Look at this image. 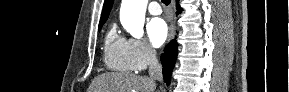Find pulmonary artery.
I'll return each mask as SVG.
<instances>
[{"label":"pulmonary artery","instance_id":"pulmonary-artery-1","mask_svg":"<svg viewBox=\"0 0 289 92\" xmlns=\"http://www.w3.org/2000/svg\"><path fill=\"white\" fill-rule=\"evenodd\" d=\"M148 11L152 15H160L162 13V9L158 2L152 1L148 5Z\"/></svg>","mask_w":289,"mask_h":92}]
</instances>
